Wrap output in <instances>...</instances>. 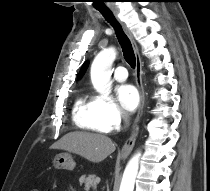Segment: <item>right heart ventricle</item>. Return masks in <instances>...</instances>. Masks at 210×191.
Segmentation results:
<instances>
[{
  "label": "right heart ventricle",
  "mask_w": 210,
  "mask_h": 191,
  "mask_svg": "<svg viewBox=\"0 0 210 191\" xmlns=\"http://www.w3.org/2000/svg\"><path fill=\"white\" fill-rule=\"evenodd\" d=\"M73 117L75 123L82 129L108 133L110 128L101 119L95 99L81 95L75 102Z\"/></svg>",
  "instance_id": "right-heart-ventricle-1"
}]
</instances>
